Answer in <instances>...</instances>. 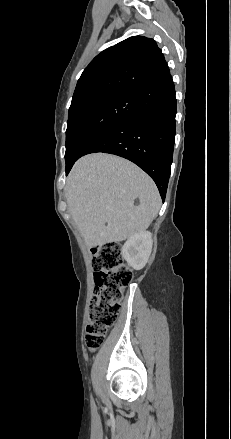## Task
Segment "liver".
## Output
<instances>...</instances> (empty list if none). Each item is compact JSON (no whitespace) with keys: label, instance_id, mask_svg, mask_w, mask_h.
I'll return each mask as SVG.
<instances>
[{"label":"liver","instance_id":"6515ba94","mask_svg":"<svg viewBox=\"0 0 231 439\" xmlns=\"http://www.w3.org/2000/svg\"><path fill=\"white\" fill-rule=\"evenodd\" d=\"M69 212L88 247L124 241L145 231L161 198L154 181L132 162L95 153L80 158L66 183ZM139 205H135V199Z\"/></svg>","mask_w":231,"mask_h":439}]
</instances>
